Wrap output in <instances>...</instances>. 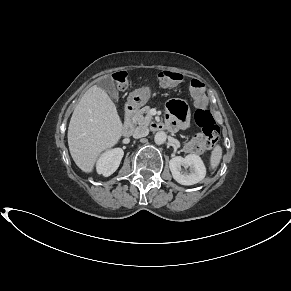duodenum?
<instances>
[{"instance_id":"duodenum-1","label":"duodenum","mask_w":291,"mask_h":291,"mask_svg":"<svg viewBox=\"0 0 291 291\" xmlns=\"http://www.w3.org/2000/svg\"><path fill=\"white\" fill-rule=\"evenodd\" d=\"M135 111H136V106L133 103H129L125 107V121L122 128V133L125 136L130 135L133 131L132 116L134 115Z\"/></svg>"}]
</instances>
